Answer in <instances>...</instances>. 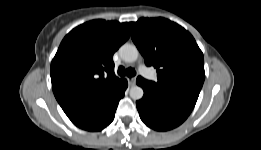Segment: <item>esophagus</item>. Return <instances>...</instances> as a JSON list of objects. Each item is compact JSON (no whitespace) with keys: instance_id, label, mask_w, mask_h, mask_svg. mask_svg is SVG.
Here are the masks:
<instances>
[{"instance_id":"1","label":"esophagus","mask_w":261,"mask_h":150,"mask_svg":"<svg viewBox=\"0 0 261 150\" xmlns=\"http://www.w3.org/2000/svg\"><path fill=\"white\" fill-rule=\"evenodd\" d=\"M129 83L131 86H134L136 84V78L135 77L130 78Z\"/></svg>"}]
</instances>
